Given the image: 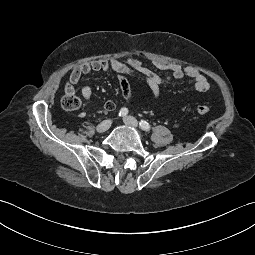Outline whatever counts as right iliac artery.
Masks as SVG:
<instances>
[{
	"mask_svg": "<svg viewBox=\"0 0 255 255\" xmlns=\"http://www.w3.org/2000/svg\"><path fill=\"white\" fill-rule=\"evenodd\" d=\"M128 114V109L127 108H121L119 111V116L124 117Z\"/></svg>",
	"mask_w": 255,
	"mask_h": 255,
	"instance_id": "obj_1",
	"label": "right iliac artery"
}]
</instances>
